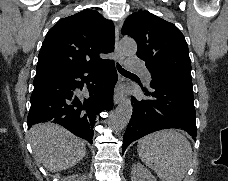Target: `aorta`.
Returning <instances> with one entry per match:
<instances>
[{
    "instance_id": "762f6f07",
    "label": "aorta",
    "mask_w": 228,
    "mask_h": 181,
    "mask_svg": "<svg viewBox=\"0 0 228 181\" xmlns=\"http://www.w3.org/2000/svg\"><path fill=\"white\" fill-rule=\"evenodd\" d=\"M119 51L123 55H134L137 52V44L131 38H123L119 44ZM133 107L130 99H123L117 106L113 120L112 127L114 130L124 129L131 118Z\"/></svg>"
}]
</instances>
